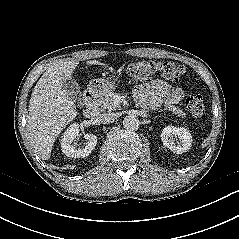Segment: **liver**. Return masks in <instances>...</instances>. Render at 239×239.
Listing matches in <instances>:
<instances>
[{
	"instance_id": "1",
	"label": "liver",
	"mask_w": 239,
	"mask_h": 239,
	"mask_svg": "<svg viewBox=\"0 0 239 239\" xmlns=\"http://www.w3.org/2000/svg\"><path fill=\"white\" fill-rule=\"evenodd\" d=\"M76 59L50 66L38 80L29 101L27 130L35 150L43 160L50 158L57 136L77 116L76 106L63 88L78 66ZM87 65H103L90 60Z\"/></svg>"
}]
</instances>
